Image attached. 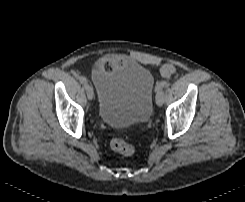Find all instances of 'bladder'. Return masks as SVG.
<instances>
[{
    "instance_id": "1",
    "label": "bladder",
    "mask_w": 245,
    "mask_h": 202,
    "mask_svg": "<svg viewBox=\"0 0 245 202\" xmlns=\"http://www.w3.org/2000/svg\"><path fill=\"white\" fill-rule=\"evenodd\" d=\"M91 81L97 114L106 125L126 127L149 120L156 82L145 66L135 61L112 68L100 65L93 69Z\"/></svg>"
}]
</instances>
